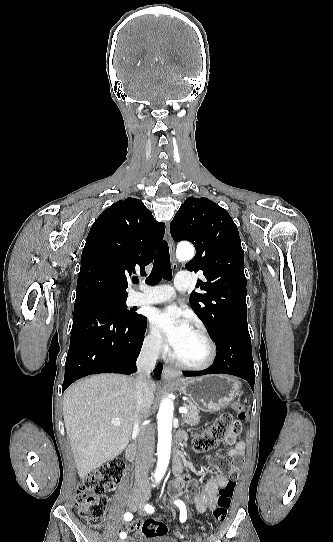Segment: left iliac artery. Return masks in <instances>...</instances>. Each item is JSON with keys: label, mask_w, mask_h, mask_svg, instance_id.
<instances>
[{"label": "left iliac artery", "mask_w": 333, "mask_h": 542, "mask_svg": "<svg viewBox=\"0 0 333 542\" xmlns=\"http://www.w3.org/2000/svg\"><path fill=\"white\" fill-rule=\"evenodd\" d=\"M180 509V521L181 522H184L186 521L187 519V511H186V506L185 504L181 501V500H176L174 502ZM145 510L148 512V513H153L154 512V507L147 504L145 505Z\"/></svg>", "instance_id": "1"}]
</instances>
